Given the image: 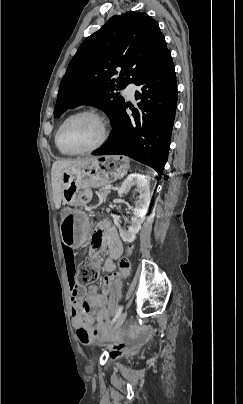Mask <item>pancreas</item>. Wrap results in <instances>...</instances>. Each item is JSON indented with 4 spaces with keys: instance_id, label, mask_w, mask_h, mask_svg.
<instances>
[{
    "instance_id": "pancreas-1",
    "label": "pancreas",
    "mask_w": 243,
    "mask_h": 404,
    "mask_svg": "<svg viewBox=\"0 0 243 404\" xmlns=\"http://www.w3.org/2000/svg\"><path fill=\"white\" fill-rule=\"evenodd\" d=\"M98 194H99V200H103V202H104V200H106L109 192H108V190H105V188H100ZM93 208H96V206H93ZM89 212H91V210H89Z\"/></svg>"
}]
</instances>
